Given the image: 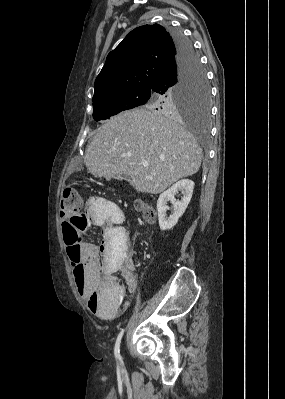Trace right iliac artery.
<instances>
[{
  "label": "right iliac artery",
  "instance_id": "right-iliac-artery-1",
  "mask_svg": "<svg viewBox=\"0 0 285 399\" xmlns=\"http://www.w3.org/2000/svg\"><path fill=\"white\" fill-rule=\"evenodd\" d=\"M124 334V329L121 330V332L119 333L116 343H115V347H114V356L117 360L121 359V355H120V343H121V339L122 336Z\"/></svg>",
  "mask_w": 285,
  "mask_h": 399
}]
</instances>
